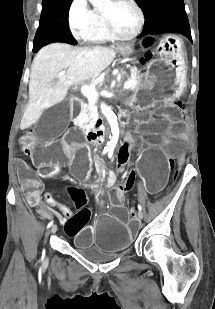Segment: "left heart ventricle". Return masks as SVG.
Returning <instances> with one entry per match:
<instances>
[{"label": "left heart ventricle", "mask_w": 215, "mask_h": 309, "mask_svg": "<svg viewBox=\"0 0 215 309\" xmlns=\"http://www.w3.org/2000/svg\"><path fill=\"white\" fill-rule=\"evenodd\" d=\"M109 15V23L114 25L115 29H132L133 15L127 8L118 7L116 10H110Z\"/></svg>", "instance_id": "1"}]
</instances>
